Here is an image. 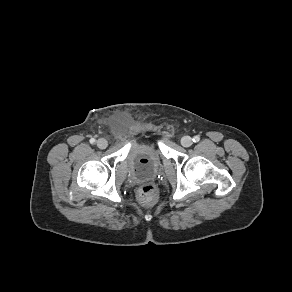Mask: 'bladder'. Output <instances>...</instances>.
Listing matches in <instances>:
<instances>
[{"label":"bladder","instance_id":"obj_1","mask_svg":"<svg viewBox=\"0 0 292 292\" xmlns=\"http://www.w3.org/2000/svg\"><path fill=\"white\" fill-rule=\"evenodd\" d=\"M129 175L135 180L154 178L161 168L157 147L152 143H137L132 146L127 157Z\"/></svg>","mask_w":292,"mask_h":292}]
</instances>
